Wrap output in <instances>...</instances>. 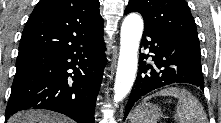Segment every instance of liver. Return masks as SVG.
I'll return each mask as SVG.
<instances>
[{
  "label": "liver",
  "instance_id": "6515ba94",
  "mask_svg": "<svg viewBox=\"0 0 221 123\" xmlns=\"http://www.w3.org/2000/svg\"><path fill=\"white\" fill-rule=\"evenodd\" d=\"M8 123H69L62 115L44 110L18 112L10 117Z\"/></svg>",
  "mask_w": 221,
  "mask_h": 123
}]
</instances>
